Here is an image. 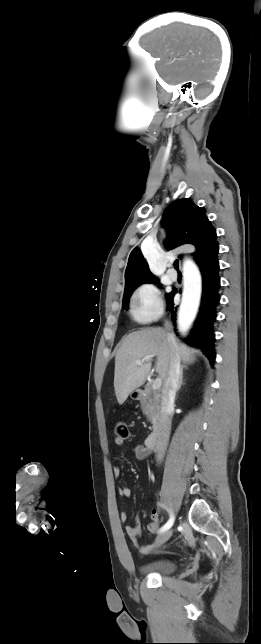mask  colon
Masks as SVG:
<instances>
[{
    "mask_svg": "<svg viewBox=\"0 0 261 644\" xmlns=\"http://www.w3.org/2000/svg\"><path fill=\"white\" fill-rule=\"evenodd\" d=\"M115 434L117 438L126 439L129 436L128 426L125 422H118L115 427Z\"/></svg>",
    "mask_w": 261,
    "mask_h": 644,
    "instance_id": "colon-1",
    "label": "colon"
}]
</instances>
